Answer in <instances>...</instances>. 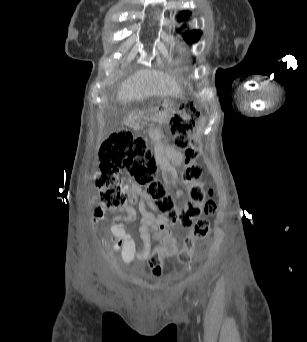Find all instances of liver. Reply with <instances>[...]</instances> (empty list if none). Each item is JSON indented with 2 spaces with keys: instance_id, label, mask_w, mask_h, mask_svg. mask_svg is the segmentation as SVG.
I'll return each mask as SVG.
<instances>
[{
  "instance_id": "liver-1",
  "label": "liver",
  "mask_w": 307,
  "mask_h": 342,
  "mask_svg": "<svg viewBox=\"0 0 307 342\" xmlns=\"http://www.w3.org/2000/svg\"><path fill=\"white\" fill-rule=\"evenodd\" d=\"M151 96H171L180 98V88L176 78L168 76L160 70H138L121 84V90L117 94L120 102H132V100H146Z\"/></svg>"
}]
</instances>
